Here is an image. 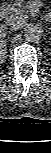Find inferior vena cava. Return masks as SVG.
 Masks as SVG:
<instances>
[{
	"mask_svg": "<svg viewBox=\"0 0 51 153\" xmlns=\"http://www.w3.org/2000/svg\"><path fill=\"white\" fill-rule=\"evenodd\" d=\"M25 19L22 17H18V16H13L7 19L6 24L13 28H20L21 26H23L25 24Z\"/></svg>",
	"mask_w": 51,
	"mask_h": 153,
	"instance_id": "obj_1",
	"label": "inferior vena cava"
}]
</instances>
